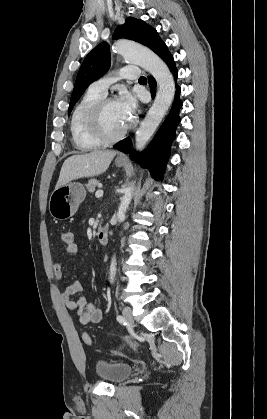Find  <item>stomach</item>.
Wrapping results in <instances>:
<instances>
[{
	"mask_svg": "<svg viewBox=\"0 0 267 419\" xmlns=\"http://www.w3.org/2000/svg\"><path fill=\"white\" fill-rule=\"evenodd\" d=\"M115 164L118 167H122L125 163L116 160ZM85 196V188L78 182H69L59 188H55L49 200L51 216L57 220H65L74 216Z\"/></svg>",
	"mask_w": 267,
	"mask_h": 419,
	"instance_id": "obj_1",
	"label": "stomach"
}]
</instances>
